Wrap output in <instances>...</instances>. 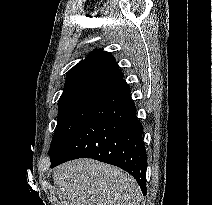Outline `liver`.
<instances>
[{
	"label": "liver",
	"instance_id": "obj_1",
	"mask_svg": "<svg viewBox=\"0 0 212 205\" xmlns=\"http://www.w3.org/2000/svg\"><path fill=\"white\" fill-rule=\"evenodd\" d=\"M60 205H140L136 180L121 169L92 159L58 166L53 173Z\"/></svg>",
	"mask_w": 212,
	"mask_h": 205
}]
</instances>
